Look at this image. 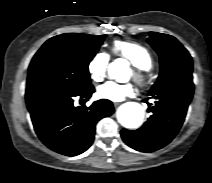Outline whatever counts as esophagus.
Masks as SVG:
<instances>
[{
  "label": "esophagus",
  "mask_w": 212,
  "mask_h": 183,
  "mask_svg": "<svg viewBox=\"0 0 212 183\" xmlns=\"http://www.w3.org/2000/svg\"><path fill=\"white\" fill-rule=\"evenodd\" d=\"M113 105H114L115 107H117V106H119V105H120V103H118V102H114V103H113Z\"/></svg>",
  "instance_id": "obj_1"
}]
</instances>
